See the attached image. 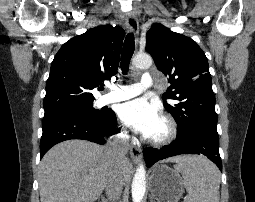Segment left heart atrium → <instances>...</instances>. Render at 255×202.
Returning a JSON list of instances; mask_svg holds the SVG:
<instances>
[{"mask_svg": "<svg viewBox=\"0 0 255 202\" xmlns=\"http://www.w3.org/2000/svg\"><path fill=\"white\" fill-rule=\"evenodd\" d=\"M119 117L126 125L147 137L152 135L161 121L158 106L143 98L122 104L119 108Z\"/></svg>", "mask_w": 255, "mask_h": 202, "instance_id": "obj_1", "label": "left heart atrium"}]
</instances>
